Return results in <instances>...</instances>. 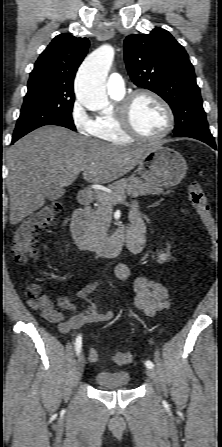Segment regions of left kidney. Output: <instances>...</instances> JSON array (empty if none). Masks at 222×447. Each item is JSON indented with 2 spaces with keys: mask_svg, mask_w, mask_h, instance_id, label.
I'll return each instance as SVG.
<instances>
[{
  "mask_svg": "<svg viewBox=\"0 0 222 447\" xmlns=\"http://www.w3.org/2000/svg\"><path fill=\"white\" fill-rule=\"evenodd\" d=\"M169 249H170V247H168L167 253H158V262L159 263L166 262L169 259V256H170Z\"/></svg>",
  "mask_w": 222,
  "mask_h": 447,
  "instance_id": "1",
  "label": "left kidney"
}]
</instances>
